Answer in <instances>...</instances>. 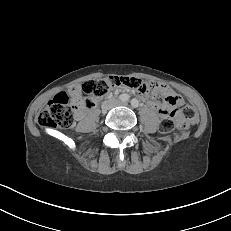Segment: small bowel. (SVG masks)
<instances>
[{"label":"small bowel","mask_w":231,"mask_h":231,"mask_svg":"<svg viewBox=\"0 0 231 231\" xmlns=\"http://www.w3.org/2000/svg\"><path fill=\"white\" fill-rule=\"evenodd\" d=\"M156 86L155 92L161 93L165 96V102L159 103L157 101L151 100L147 95L145 96L147 99L148 106L153 110L157 111L160 116H164L166 113L169 112L171 106L178 105L182 103L181 97H179L169 86L164 84H154ZM120 88H116L114 92H118ZM71 95L75 99L82 98L81 88L79 86H73L70 89Z\"/></svg>","instance_id":"c3829d8e"}]
</instances>
